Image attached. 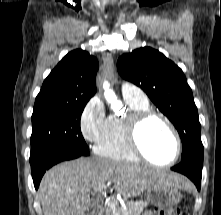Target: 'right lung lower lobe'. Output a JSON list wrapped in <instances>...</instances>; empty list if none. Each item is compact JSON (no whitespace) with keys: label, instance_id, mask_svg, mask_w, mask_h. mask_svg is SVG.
I'll return each instance as SVG.
<instances>
[{"label":"right lung lower lobe","instance_id":"right-lung-lower-lobe-1","mask_svg":"<svg viewBox=\"0 0 221 215\" xmlns=\"http://www.w3.org/2000/svg\"><path fill=\"white\" fill-rule=\"evenodd\" d=\"M89 149L84 148H63L52 150L41 158L37 159L31 164L32 178L34 186L37 189L39 187L41 178L47 169L53 165L66 161L78 158L80 156H88Z\"/></svg>","mask_w":221,"mask_h":215}]
</instances>
